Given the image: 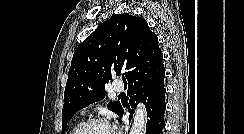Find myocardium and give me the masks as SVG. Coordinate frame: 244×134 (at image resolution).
<instances>
[{
    "instance_id": "obj_1",
    "label": "myocardium",
    "mask_w": 244,
    "mask_h": 134,
    "mask_svg": "<svg viewBox=\"0 0 244 134\" xmlns=\"http://www.w3.org/2000/svg\"><path fill=\"white\" fill-rule=\"evenodd\" d=\"M94 125H104L112 129V127L110 126L107 120L101 118H92L81 123L79 127L76 129L74 134H84L87 129H89Z\"/></svg>"
}]
</instances>
